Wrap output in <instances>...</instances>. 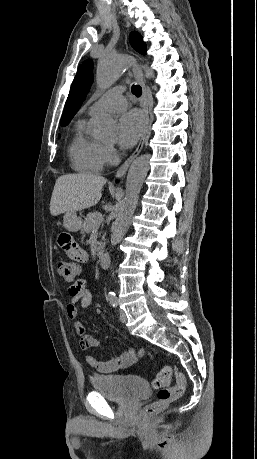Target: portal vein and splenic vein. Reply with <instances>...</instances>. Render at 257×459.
<instances>
[{"label": "portal vein and splenic vein", "instance_id": "obj_1", "mask_svg": "<svg viewBox=\"0 0 257 459\" xmlns=\"http://www.w3.org/2000/svg\"><path fill=\"white\" fill-rule=\"evenodd\" d=\"M102 220H103V216H102L101 213H99V214L97 215V217H96L95 223H96V224H100V223L102 222Z\"/></svg>", "mask_w": 257, "mask_h": 459}]
</instances>
